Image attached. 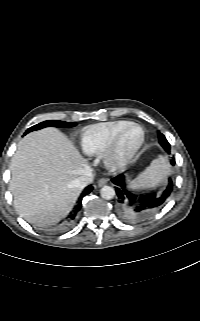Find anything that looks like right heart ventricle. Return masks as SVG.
Masks as SVG:
<instances>
[{"label": "right heart ventricle", "mask_w": 200, "mask_h": 321, "mask_svg": "<svg viewBox=\"0 0 200 321\" xmlns=\"http://www.w3.org/2000/svg\"><path fill=\"white\" fill-rule=\"evenodd\" d=\"M127 120H117L91 125L83 130L80 145L83 152L89 156H97L107 149L116 134L126 125Z\"/></svg>", "instance_id": "right-heart-ventricle-1"}]
</instances>
